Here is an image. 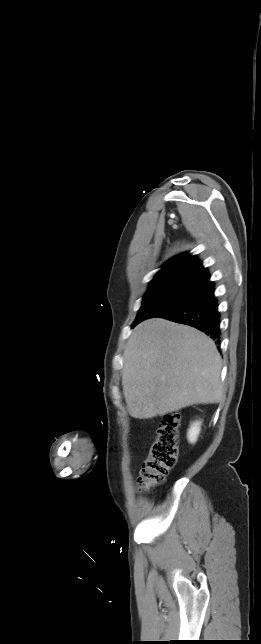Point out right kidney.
Returning <instances> with one entry per match:
<instances>
[{"label": "right kidney", "mask_w": 261, "mask_h": 644, "mask_svg": "<svg viewBox=\"0 0 261 644\" xmlns=\"http://www.w3.org/2000/svg\"><path fill=\"white\" fill-rule=\"evenodd\" d=\"M200 425H201V422L196 421L191 425L190 429L188 430L187 437L190 443H195L197 441V438L200 432Z\"/></svg>", "instance_id": "obj_1"}]
</instances>
